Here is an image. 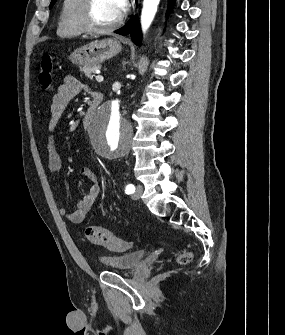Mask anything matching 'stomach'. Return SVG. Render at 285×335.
<instances>
[{
  "mask_svg": "<svg viewBox=\"0 0 285 335\" xmlns=\"http://www.w3.org/2000/svg\"><path fill=\"white\" fill-rule=\"evenodd\" d=\"M121 50L122 46L118 40L105 38V40H95V42L77 48L71 52L69 60L76 66H97L105 60L114 58Z\"/></svg>",
  "mask_w": 285,
  "mask_h": 335,
  "instance_id": "0dacf381",
  "label": "stomach"
}]
</instances>
